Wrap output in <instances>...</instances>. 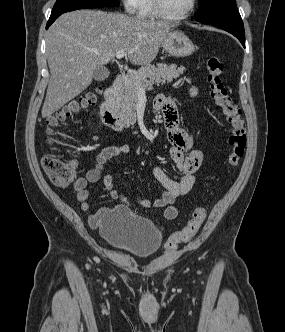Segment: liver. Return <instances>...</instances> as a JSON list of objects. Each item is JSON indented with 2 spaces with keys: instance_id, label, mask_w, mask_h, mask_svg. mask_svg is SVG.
Segmentation results:
<instances>
[{
  "instance_id": "liver-1",
  "label": "liver",
  "mask_w": 285,
  "mask_h": 332,
  "mask_svg": "<svg viewBox=\"0 0 285 332\" xmlns=\"http://www.w3.org/2000/svg\"><path fill=\"white\" fill-rule=\"evenodd\" d=\"M164 22L119 13L76 10L61 15L49 28L46 54L50 81L42 117L51 116L82 93L98 66L125 51L134 65H148L170 33Z\"/></svg>"
}]
</instances>
